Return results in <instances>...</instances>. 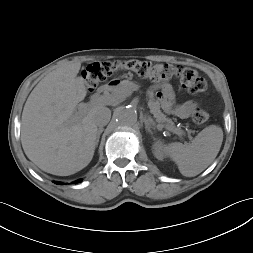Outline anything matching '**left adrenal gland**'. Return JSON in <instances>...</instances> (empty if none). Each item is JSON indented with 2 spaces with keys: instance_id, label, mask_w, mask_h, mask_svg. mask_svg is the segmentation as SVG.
<instances>
[{
  "instance_id": "a2214340",
  "label": "left adrenal gland",
  "mask_w": 253,
  "mask_h": 253,
  "mask_svg": "<svg viewBox=\"0 0 253 253\" xmlns=\"http://www.w3.org/2000/svg\"><path fill=\"white\" fill-rule=\"evenodd\" d=\"M143 121L146 131L152 134L151 129H155V122L150 117L147 118L146 116L143 118Z\"/></svg>"
}]
</instances>
